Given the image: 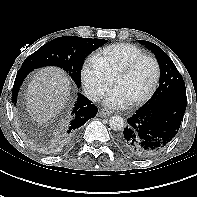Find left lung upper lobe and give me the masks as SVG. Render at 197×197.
Masks as SVG:
<instances>
[{
	"mask_svg": "<svg viewBox=\"0 0 197 197\" xmlns=\"http://www.w3.org/2000/svg\"><path fill=\"white\" fill-rule=\"evenodd\" d=\"M140 43L144 44L155 54L160 66L159 86L145 105L157 101L171 92L186 91L184 80L170 57L154 43L143 40H140Z\"/></svg>",
	"mask_w": 197,
	"mask_h": 197,
	"instance_id": "5c2ea615",
	"label": "left lung upper lobe"
}]
</instances>
